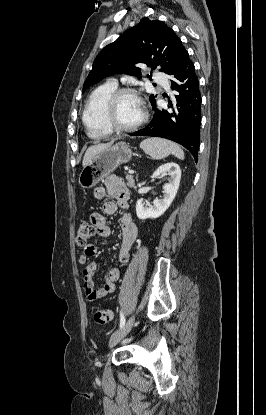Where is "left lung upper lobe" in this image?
Returning <instances> with one entry per match:
<instances>
[{
    "instance_id": "obj_1",
    "label": "left lung upper lobe",
    "mask_w": 266,
    "mask_h": 415,
    "mask_svg": "<svg viewBox=\"0 0 266 415\" xmlns=\"http://www.w3.org/2000/svg\"><path fill=\"white\" fill-rule=\"evenodd\" d=\"M188 52L175 32L159 20L143 18L137 26L130 28L115 42L107 45L95 59L83 92L103 78L126 73L141 78V69L135 64L159 67L168 75H174ZM152 106L155 96H150Z\"/></svg>"
}]
</instances>
